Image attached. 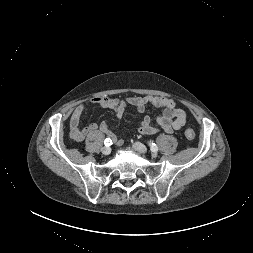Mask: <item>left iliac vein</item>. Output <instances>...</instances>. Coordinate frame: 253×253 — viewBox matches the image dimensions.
<instances>
[{"label":"left iliac vein","mask_w":253,"mask_h":253,"mask_svg":"<svg viewBox=\"0 0 253 253\" xmlns=\"http://www.w3.org/2000/svg\"><path fill=\"white\" fill-rule=\"evenodd\" d=\"M133 148L135 151L141 153V154H146L147 153V148L145 145H143L142 143L140 142H135L133 144Z\"/></svg>","instance_id":"1"}]
</instances>
